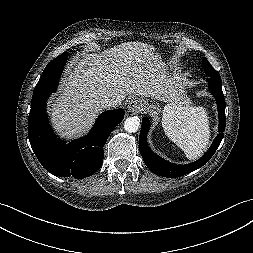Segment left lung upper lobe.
<instances>
[{
  "label": "left lung upper lobe",
  "instance_id": "5c2ea615",
  "mask_svg": "<svg viewBox=\"0 0 253 253\" xmlns=\"http://www.w3.org/2000/svg\"><path fill=\"white\" fill-rule=\"evenodd\" d=\"M203 66H204V70H205L206 74L213 76V77L220 76L219 73L210 65V63L208 62V60L206 58H204Z\"/></svg>",
  "mask_w": 253,
  "mask_h": 253
}]
</instances>
